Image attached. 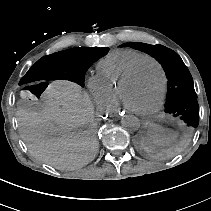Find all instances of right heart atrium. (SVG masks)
Here are the masks:
<instances>
[{
    "mask_svg": "<svg viewBox=\"0 0 211 211\" xmlns=\"http://www.w3.org/2000/svg\"><path fill=\"white\" fill-rule=\"evenodd\" d=\"M88 88L98 108L107 109L109 107L108 97L95 76L89 79Z\"/></svg>",
    "mask_w": 211,
    "mask_h": 211,
    "instance_id": "d8ad5b80",
    "label": "right heart atrium"
}]
</instances>
